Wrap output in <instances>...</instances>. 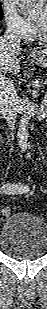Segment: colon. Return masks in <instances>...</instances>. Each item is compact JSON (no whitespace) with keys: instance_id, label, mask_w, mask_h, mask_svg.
<instances>
[{"instance_id":"obj_1","label":"colon","mask_w":47,"mask_h":309,"mask_svg":"<svg viewBox=\"0 0 47 309\" xmlns=\"http://www.w3.org/2000/svg\"><path fill=\"white\" fill-rule=\"evenodd\" d=\"M2 214H3L4 216H9V215L11 214V209L8 208V207L3 208V209H2Z\"/></svg>"}]
</instances>
